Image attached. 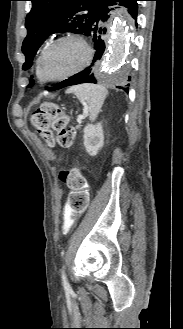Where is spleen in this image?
<instances>
[{
	"label": "spleen",
	"instance_id": "obj_1",
	"mask_svg": "<svg viewBox=\"0 0 183 329\" xmlns=\"http://www.w3.org/2000/svg\"><path fill=\"white\" fill-rule=\"evenodd\" d=\"M67 93H73L89 112L91 121H95L101 111L108 91L101 85L82 84L70 87Z\"/></svg>",
	"mask_w": 183,
	"mask_h": 329
}]
</instances>
